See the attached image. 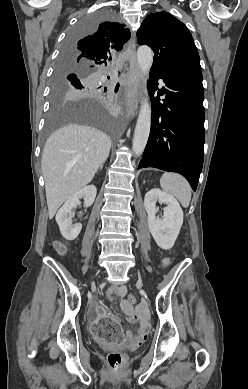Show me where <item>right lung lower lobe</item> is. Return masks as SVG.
<instances>
[{"label": "right lung lower lobe", "mask_w": 248, "mask_h": 389, "mask_svg": "<svg viewBox=\"0 0 248 389\" xmlns=\"http://www.w3.org/2000/svg\"><path fill=\"white\" fill-rule=\"evenodd\" d=\"M72 77H77V76L75 74H72ZM118 89H119V85L117 84L115 91H118Z\"/></svg>", "instance_id": "1"}]
</instances>
